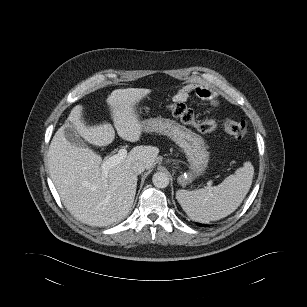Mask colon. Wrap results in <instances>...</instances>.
Returning <instances> with one entry per match:
<instances>
[{
  "mask_svg": "<svg viewBox=\"0 0 307 307\" xmlns=\"http://www.w3.org/2000/svg\"><path fill=\"white\" fill-rule=\"evenodd\" d=\"M166 108L182 122L192 125L198 131L208 133L220 128L234 138L241 140L248 133L247 124L244 121L224 120L217 122L214 120H197L193 111L190 110L184 103L175 102L166 105Z\"/></svg>",
  "mask_w": 307,
  "mask_h": 307,
  "instance_id": "5ec220e1",
  "label": "colon"
}]
</instances>
